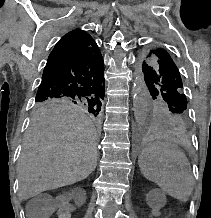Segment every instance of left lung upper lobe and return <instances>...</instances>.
I'll list each match as a JSON object with an SVG mask.
<instances>
[{"label":"left lung upper lobe","mask_w":211,"mask_h":218,"mask_svg":"<svg viewBox=\"0 0 211 218\" xmlns=\"http://www.w3.org/2000/svg\"><path fill=\"white\" fill-rule=\"evenodd\" d=\"M145 83L154 102L146 108L151 118L185 134L189 113L184 86L177 66L163 48L153 46L141 55Z\"/></svg>","instance_id":"1"}]
</instances>
